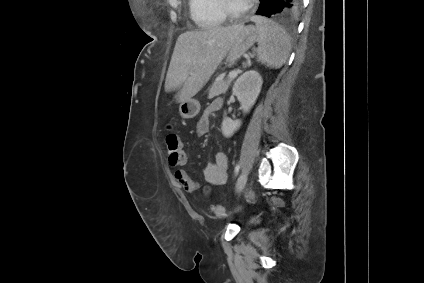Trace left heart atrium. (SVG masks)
<instances>
[{
    "label": "left heart atrium",
    "instance_id": "1",
    "mask_svg": "<svg viewBox=\"0 0 424 283\" xmlns=\"http://www.w3.org/2000/svg\"><path fill=\"white\" fill-rule=\"evenodd\" d=\"M244 1L248 3V2H250V1H252V0H244Z\"/></svg>",
    "mask_w": 424,
    "mask_h": 283
}]
</instances>
